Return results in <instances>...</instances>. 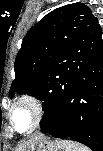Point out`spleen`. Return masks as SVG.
I'll use <instances>...</instances> for the list:
<instances>
[{"mask_svg": "<svg viewBox=\"0 0 103 151\" xmlns=\"http://www.w3.org/2000/svg\"><path fill=\"white\" fill-rule=\"evenodd\" d=\"M59 147L63 151H91L88 147L72 140H60Z\"/></svg>", "mask_w": 103, "mask_h": 151, "instance_id": "1", "label": "spleen"}]
</instances>
